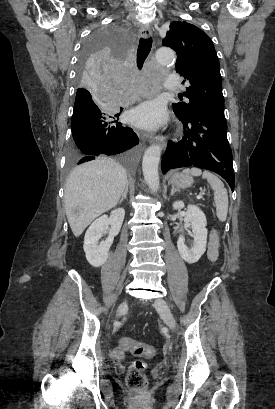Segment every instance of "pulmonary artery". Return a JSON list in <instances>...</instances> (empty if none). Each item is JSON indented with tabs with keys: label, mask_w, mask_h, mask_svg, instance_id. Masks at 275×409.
<instances>
[{
	"label": "pulmonary artery",
	"mask_w": 275,
	"mask_h": 409,
	"mask_svg": "<svg viewBox=\"0 0 275 409\" xmlns=\"http://www.w3.org/2000/svg\"><path fill=\"white\" fill-rule=\"evenodd\" d=\"M167 88H178L179 87V77L176 73H170L169 79L166 80Z\"/></svg>",
	"instance_id": "e3ab8cb5"
}]
</instances>
